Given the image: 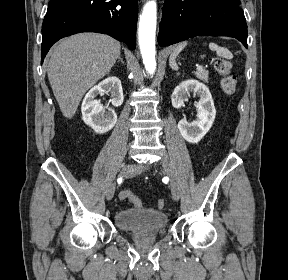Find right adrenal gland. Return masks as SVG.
Segmentation results:
<instances>
[{"label":"right adrenal gland","mask_w":288,"mask_h":280,"mask_svg":"<svg viewBox=\"0 0 288 280\" xmlns=\"http://www.w3.org/2000/svg\"><path fill=\"white\" fill-rule=\"evenodd\" d=\"M121 62L122 64H124V61H123V59H122V57L119 55V57H118V62Z\"/></svg>","instance_id":"2a0ac1e0"}]
</instances>
